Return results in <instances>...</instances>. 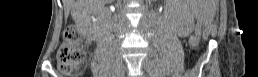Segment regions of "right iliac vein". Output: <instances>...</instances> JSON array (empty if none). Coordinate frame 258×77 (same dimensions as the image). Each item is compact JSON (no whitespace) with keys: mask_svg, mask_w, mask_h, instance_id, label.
Returning a JSON list of instances; mask_svg holds the SVG:
<instances>
[{"mask_svg":"<svg viewBox=\"0 0 258 77\" xmlns=\"http://www.w3.org/2000/svg\"><path fill=\"white\" fill-rule=\"evenodd\" d=\"M123 64H122V58L120 56L116 57L112 69H111V77H117L122 72Z\"/></svg>","mask_w":258,"mask_h":77,"instance_id":"1","label":"right iliac vein"}]
</instances>
